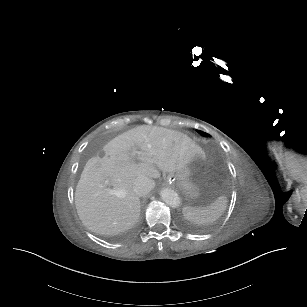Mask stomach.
Returning a JSON list of instances; mask_svg holds the SVG:
<instances>
[{"label":"stomach","mask_w":307,"mask_h":307,"mask_svg":"<svg viewBox=\"0 0 307 307\" xmlns=\"http://www.w3.org/2000/svg\"><path fill=\"white\" fill-rule=\"evenodd\" d=\"M202 163V156L197 155L184 168L171 172L167 176V182L175 185L184 193H192L196 186L194 184L195 176L199 166Z\"/></svg>","instance_id":"0dacf381"}]
</instances>
